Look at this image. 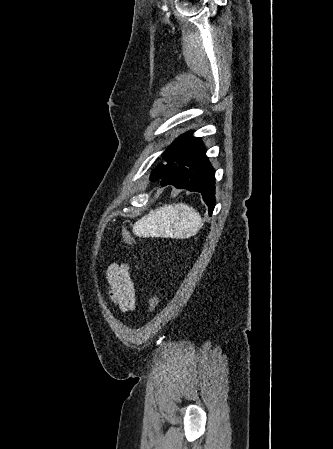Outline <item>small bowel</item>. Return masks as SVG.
I'll return each mask as SVG.
<instances>
[{"mask_svg": "<svg viewBox=\"0 0 333 449\" xmlns=\"http://www.w3.org/2000/svg\"><path fill=\"white\" fill-rule=\"evenodd\" d=\"M109 297L123 312L135 307V287L127 265L111 264L107 270Z\"/></svg>", "mask_w": 333, "mask_h": 449, "instance_id": "small-bowel-1", "label": "small bowel"}]
</instances>
